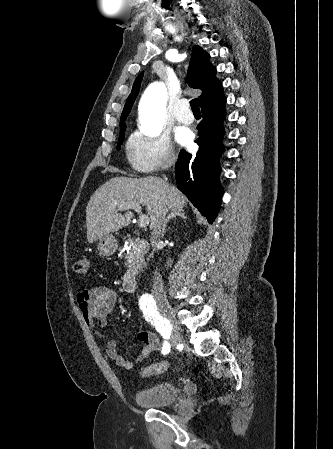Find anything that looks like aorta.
Returning a JSON list of instances; mask_svg holds the SVG:
<instances>
[{"label": "aorta", "mask_w": 333, "mask_h": 449, "mask_svg": "<svg viewBox=\"0 0 333 449\" xmlns=\"http://www.w3.org/2000/svg\"><path fill=\"white\" fill-rule=\"evenodd\" d=\"M167 88L164 83L151 84L140 102L141 130L145 135L161 133L166 116Z\"/></svg>", "instance_id": "aorta-1"}]
</instances>
